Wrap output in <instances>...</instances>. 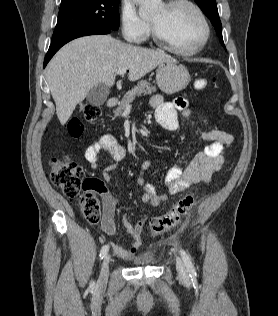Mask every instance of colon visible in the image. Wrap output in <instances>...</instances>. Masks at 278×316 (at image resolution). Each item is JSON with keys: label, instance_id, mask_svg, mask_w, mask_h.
Masks as SVG:
<instances>
[{"label": "colon", "instance_id": "5ec220e1", "mask_svg": "<svg viewBox=\"0 0 278 316\" xmlns=\"http://www.w3.org/2000/svg\"><path fill=\"white\" fill-rule=\"evenodd\" d=\"M206 86L205 79L194 82L196 90H203ZM79 112L83 119L89 122L98 120L101 114L97 107L88 105L80 106ZM83 130L84 126L80 118L72 117L68 121L67 131L71 136L79 137ZM50 180L66 197L79 198L81 211L88 222L96 224L101 220L99 195L104 188L100 180L84 178L81 166L69 159H53L50 162ZM194 205L193 195L183 196L168 212L150 220L149 233L157 236L174 228Z\"/></svg>", "mask_w": 278, "mask_h": 316}]
</instances>
